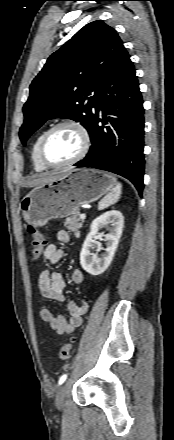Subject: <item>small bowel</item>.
I'll return each instance as SVG.
<instances>
[{
  "mask_svg": "<svg viewBox=\"0 0 174 440\" xmlns=\"http://www.w3.org/2000/svg\"><path fill=\"white\" fill-rule=\"evenodd\" d=\"M57 240L60 243H68L70 236L66 231H59L57 233ZM63 256V250L55 244L47 245L42 252L43 260L52 264L59 263ZM71 278L76 285H82L84 283V275L82 271L78 269L73 270ZM38 284L40 292L45 298L61 302L65 301L64 290L66 284L60 273L43 270L40 273ZM87 309L88 305L85 301L81 303L69 301L67 304L69 313L68 320L61 314L52 313L50 309L45 306L40 308V317L58 334H71L76 328L82 325L83 315L87 312Z\"/></svg>",
  "mask_w": 174,
  "mask_h": 440,
  "instance_id": "1",
  "label": "small bowel"
}]
</instances>
